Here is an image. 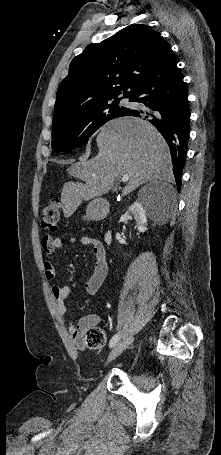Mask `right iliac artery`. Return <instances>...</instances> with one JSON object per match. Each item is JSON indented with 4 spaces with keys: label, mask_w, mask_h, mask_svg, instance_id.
<instances>
[{
    "label": "right iliac artery",
    "mask_w": 221,
    "mask_h": 455,
    "mask_svg": "<svg viewBox=\"0 0 221 455\" xmlns=\"http://www.w3.org/2000/svg\"><path fill=\"white\" fill-rule=\"evenodd\" d=\"M120 340V334H115L112 339L110 340L109 346L112 348L116 345V343Z\"/></svg>",
    "instance_id": "1"
}]
</instances>
